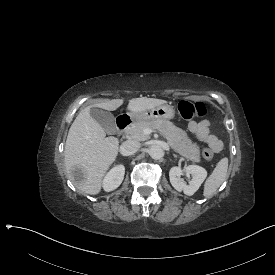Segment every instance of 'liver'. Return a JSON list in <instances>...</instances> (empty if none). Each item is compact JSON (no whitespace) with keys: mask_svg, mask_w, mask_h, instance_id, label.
<instances>
[{"mask_svg":"<svg viewBox=\"0 0 275 275\" xmlns=\"http://www.w3.org/2000/svg\"><path fill=\"white\" fill-rule=\"evenodd\" d=\"M167 101L154 98H134L129 101L128 110L142 112ZM123 104L122 99H113L85 107L72 123L64 150V162L67 173L75 165L84 168L86 181L76 186L80 191L96 195L102 187V179L118 154L119 141L115 137H106L101 125L91 117L90 108L99 107L114 111Z\"/></svg>","mask_w":275,"mask_h":275,"instance_id":"6515ba94","label":"liver"}]
</instances>
